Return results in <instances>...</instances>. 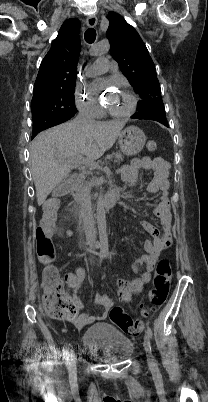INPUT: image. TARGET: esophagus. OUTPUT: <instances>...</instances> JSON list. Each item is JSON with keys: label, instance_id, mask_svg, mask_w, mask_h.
Returning a JSON list of instances; mask_svg holds the SVG:
<instances>
[{"label": "esophagus", "instance_id": "34e87169", "mask_svg": "<svg viewBox=\"0 0 208 402\" xmlns=\"http://www.w3.org/2000/svg\"><path fill=\"white\" fill-rule=\"evenodd\" d=\"M86 24L88 27H95L97 24V17H95V15H90L87 17Z\"/></svg>", "mask_w": 208, "mask_h": 402}]
</instances>
